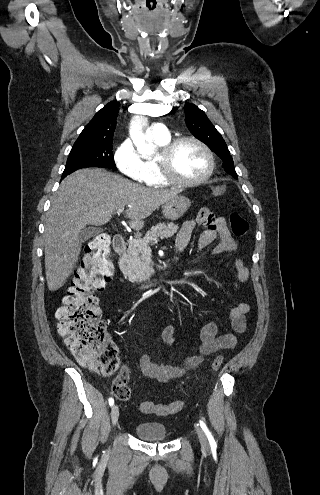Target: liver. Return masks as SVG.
<instances>
[{"label": "liver", "instance_id": "6515ba94", "mask_svg": "<svg viewBox=\"0 0 320 495\" xmlns=\"http://www.w3.org/2000/svg\"><path fill=\"white\" fill-rule=\"evenodd\" d=\"M179 190H154L102 169H82L66 177L45 218V274L50 291L61 288L73 272L81 251L79 233L87 225L108 223L118 209L134 230Z\"/></svg>", "mask_w": 320, "mask_h": 495}]
</instances>
